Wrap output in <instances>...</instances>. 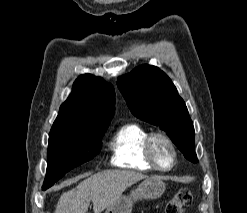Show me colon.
I'll return each mask as SVG.
<instances>
[{
	"label": "colon",
	"instance_id": "5ec220e1",
	"mask_svg": "<svg viewBox=\"0 0 247 213\" xmlns=\"http://www.w3.org/2000/svg\"><path fill=\"white\" fill-rule=\"evenodd\" d=\"M191 202L192 196L190 191L188 189H181L168 201L165 213H184Z\"/></svg>",
	"mask_w": 247,
	"mask_h": 213
}]
</instances>
